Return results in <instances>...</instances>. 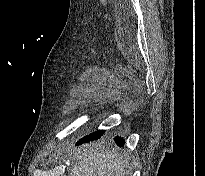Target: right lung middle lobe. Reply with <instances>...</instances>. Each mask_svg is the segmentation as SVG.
Here are the masks:
<instances>
[{"label":"right lung middle lobe","instance_id":"dd1d6c3e","mask_svg":"<svg viewBox=\"0 0 205 176\" xmlns=\"http://www.w3.org/2000/svg\"><path fill=\"white\" fill-rule=\"evenodd\" d=\"M103 133H104L103 130H98V131H96V132H94V133H92V134H90V135H88V136H85L84 138H82V139L80 140V142H81V141H87V142H89V141H91V140H96V139L100 138V137L103 135Z\"/></svg>","mask_w":205,"mask_h":176}]
</instances>
